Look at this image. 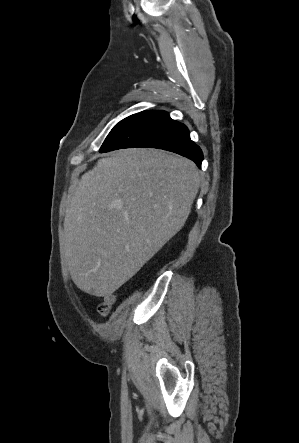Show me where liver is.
Returning a JSON list of instances; mask_svg holds the SVG:
<instances>
[{"label": "liver", "mask_w": 299, "mask_h": 443, "mask_svg": "<svg viewBox=\"0 0 299 443\" xmlns=\"http://www.w3.org/2000/svg\"><path fill=\"white\" fill-rule=\"evenodd\" d=\"M200 187L191 160L125 149L83 174L66 209L65 247L75 285L111 295L184 226Z\"/></svg>", "instance_id": "liver-1"}]
</instances>
